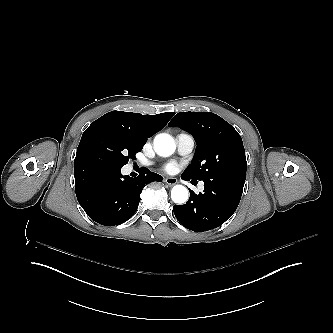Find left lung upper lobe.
Wrapping results in <instances>:
<instances>
[{"label": "left lung upper lobe", "instance_id": "obj_1", "mask_svg": "<svg viewBox=\"0 0 333 333\" xmlns=\"http://www.w3.org/2000/svg\"><path fill=\"white\" fill-rule=\"evenodd\" d=\"M168 126L188 131L197 144L183 175L204 183L223 177L245 181L247 162L241 136L223 118L210 112H182Z\"/></svg>", "mask_w": 333, "mask_h": 333}]
</instances>
